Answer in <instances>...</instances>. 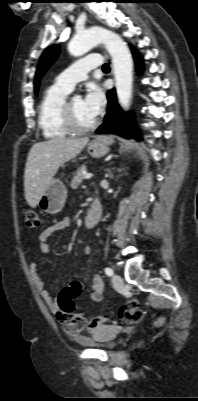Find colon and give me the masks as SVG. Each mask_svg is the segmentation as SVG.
Wrapping results in <instances>:
<instances>
[{
  "mask_svg": "<svg viewBox=\"0 0 198 401\" xmlns=\"http://www.w3.org/2000/svg\"><path fill=\"white\" fill-rule=\"evenodd\" d=\"M25 224L29 228H36L39 226L38 214L31 209H25L23 211ZM76 282H72L69 286L64 288L59 295V306L62 311L71 315H77L78 324L80 327L86 326L90 321L85 316L78 314L77 307L74 302L75 299V288ZM142 311L139 309V302L136 299H132L121 306L118 314V321H115L106 316H100L94 318L93 322L98 325H114L117 323L130 325L138 323L142 319ZM162 319L156 321V325H161Z\"/></svg>",
  "mask_w": 198,
  "mask_h": 401,
  "instance_id": "5ec220e1",
  "label": "colon"
}]
</instances>
